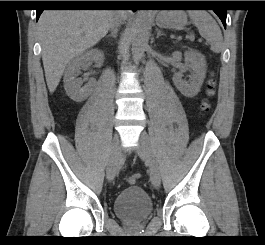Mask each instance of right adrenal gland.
Listing matches in <instances>:
<instances>
[{
  "label": "right adrenal gland",
  "instance_id": "obj_1",
  "mask_svg": "<svg viewBox=\"0 0 265 245\" xmlns=\"http://www.w3.org/2000/svg\"><path fill=\"white\" fill-rule=\"evenodd\" d=\"M116 37H117V32L115 30H113L110 35L106 36L107 39L109 38L115 39Z\"/></svg>",
  "mask_w": 265,
  "mask_h": 245
}]
</instances>
